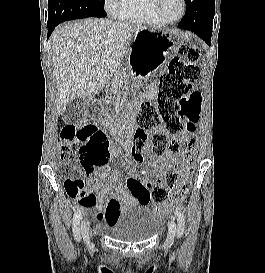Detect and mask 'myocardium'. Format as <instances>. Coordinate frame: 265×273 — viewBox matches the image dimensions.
<instances>
[{
  "label": "myocardium",
  "instance_id": "1",
  "mask_svg": "<svg viewBox=\"0 0 265 273\" xmlns=\"http://www.w3.org/2000/svg\"><path fill=\"white\" fill-rule=\"evenodd\" d=\"M161 3H162V0H153V10L157 16V18L162 21L163 23L165 24H174V23H178L180 22L184 16L186 15V12H187V3H186V0H181V4H182V12H181V15L177 18V19H174V20H170L168 18H166L164 16V14L162 13V10H161Z\"/></svg>",
  "mask_w": 265,
  "mask_h": 273
}]
</instances>
